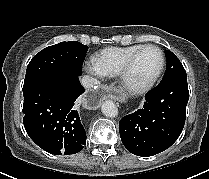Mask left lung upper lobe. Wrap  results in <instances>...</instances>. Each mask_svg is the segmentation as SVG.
Listing matches in <instances>:
<instances>
[{
  "label": "left lung upper lobe",
  "instance_id": "1",
  "mask_svg": "<svg viewBox=\"0 0 209 179\" xmlns=\"http://www.w3.org/2000/svg\"><path fill=\"white\" fill-rule=\"evenodd\" d=\"M167 59V69L159 84L169 82L171 80L186 77V71L179 59L170 51H165Z\"/></svg>",
  "mask_w": 209,
  "mask_h": 179
}]
</instances>
